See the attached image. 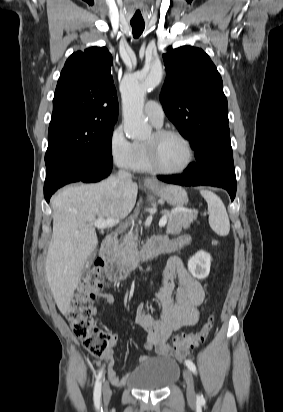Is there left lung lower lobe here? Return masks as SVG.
<instances>
[{"label":"left lung lower lobe","mask_w":283,"mask_h":412,"mask_svg":"<svg viewBox=\"0 0 283 412\" xmlns=\"http://www.w3.org/2000/svg\"><path fill=\"white\" fill-rule=\"evenodd\" d=\"M181 175H159L158 179L172 184L184 186L209 185L221 187L230 194L231 201L236 194V180L228 158L218 154L210 155L208 152H199Z\"/></svg>","instance_id":"0a47b994"}]
</instances>
